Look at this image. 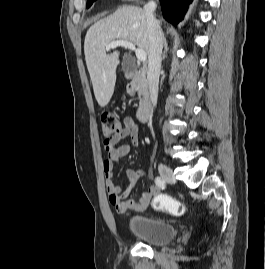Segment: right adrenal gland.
Segmentation results:
<instances>
[{
    "label": "right adrenal gland",
    "mask_w": 265,
    "mask_h": 269,
    "mask_svg": "<svg viewBox=\"0 0 265 269\" xmlns=\"http://www.w3.org/2000/svg\"><path fill=\"white\" fill-rule=\"evenodd\" d=\"M168 44H167V41H166V38H165V36H164V51H163V55H162V59L164 60L165 59V57H166V53H167V51H168Z\"/></svg>",
    "instance_id": "2a0ac1e0"
}]
</instances>
